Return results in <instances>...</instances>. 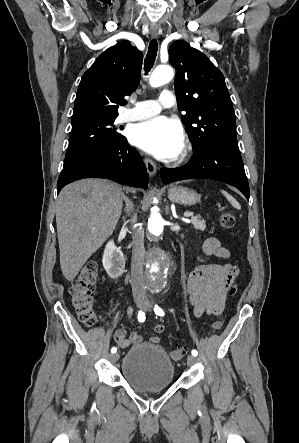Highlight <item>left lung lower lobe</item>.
Wrapping results in <instances>:
<instances>
[{"instance_id":"0a47b994","label":"left lung lower lobe","mask_w":299,"mask_h":443,"mask_svg":"<svg viewBox=\"0 0 299 443\" xmlns=\"http://www.w3.org/2000/svg\"><path fill=\"white\" fill-rule=\"evenodd\" d=\"M164 184L184 179H213L238 188L249 200L250 191L239 149L213 144L194 151L182 167L161 170Z\"/></svg>"}]
</instances>
